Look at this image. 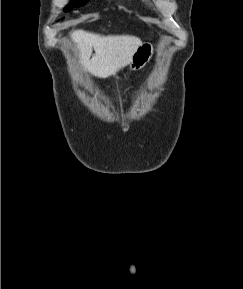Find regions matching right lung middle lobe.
I'll list each match as a JSON object with an SVG mask.
<instances>
[{
	"label": "right lung middle lobe",
	"mask_w": 243,
	"mask_h": 289,
	"mask_svg": "<svg viewBox=\"0 0 243 289\" xmlns=\"http://www.w3.org/2000/svg\"><path fill=\"white\" fill-rule=\"evenodd\" d=\"M86 1H87V0H76L73 4H70V5L68 6V8L65 9L64 11H65V12H66V11H70V10L72 9V7L81 6V5L85 4Z\"/></svg>",
	"instance_id": "dd1d6c3e"
}]
</instances>
